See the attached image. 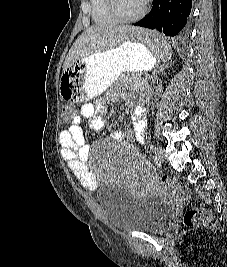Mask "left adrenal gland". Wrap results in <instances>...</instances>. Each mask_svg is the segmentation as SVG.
Wrapping results in <instances>:
<instances>
[{
    "instance_id": "a2214340",
    "label": "left adrenal gland",
    "mask_w": 227,
    "mask_h": 267,
    "mask_svg": "<svg viewBox=\"0 0 227 267\" xmlns=\"http://www.w3.org/2000/svg\"><path fill=\"white\" fill-rule=\"evenodd\" d=\"M169 67V63H166V64H163V65H160L158 67V69H155L153 72H152V83H155V80L157 78V74L161 71H164V69L168 68Z\"/></svg>"
}]
</instances>
